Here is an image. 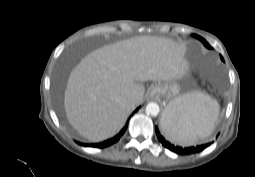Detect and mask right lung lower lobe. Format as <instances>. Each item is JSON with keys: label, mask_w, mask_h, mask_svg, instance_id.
Returning <instances> with one entry per match:
<instances>
[{"label": "right lung lower lobe", "mask_w": 255, "mask_h": 177, "mask_svg": "<svg viewBox=\"0 0 255 177\" xmlns=\"http://www.w3.org/2000/svg\"><path fill=\"white\" fill-rule=\"evenodd\" d=\"M139 108L136 109V111L138 110ZM128 126V123L125 125V127L113 138H110L106 141H103L101 143H95V144H83V143H79L80 145H83V146H91V147H96V148H105V147H108L114 143H116L120 138L121 136L124 134L126 128Z\"/></svg>", "instance_id": "1"}]
</instances>
